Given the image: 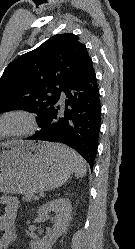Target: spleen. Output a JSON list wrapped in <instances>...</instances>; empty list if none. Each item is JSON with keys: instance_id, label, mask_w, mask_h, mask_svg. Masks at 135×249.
<instances>
[{"instance_id": "spleen-1", "label": "spleen", "mask_w": 135, "mask_h": 249, "mask_svg": "<svg viewBox=\"0 0 135 249\" xmlns=\"http://www.w3.org/2000/svg\"><path fill=\"white\" fill-rule=\"evenodd\" d=\"M59 150L63 154V156L70 158L75 164V176L77 178L83 177L86 175L87 168L84 159L77 154L75 151L70 148L60 145Z\"/></svg>"}]
</instances>
